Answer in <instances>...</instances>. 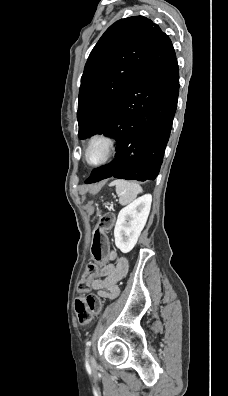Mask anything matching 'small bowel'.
Listing matches in <instances>:
<instances>
[{"label":"small bowel","mask_w":228,"mask_h":396,"mask_svg":"<svg viewBox=\"0 0 228 396\" xmlns=\"http://www.w3.org/2000/svg\"><path fill=\"white\" fill-rule=\"evenodd\" d=\"M109 259H115L111 252ZM129 264L126 258H118L116 263H108L101 269L100 276L91 281V288L97 292L100 298L114 299L119 294L118 282L127 274Z\"/></svg>","instance_id":"small-bowel-1"}]
</instances>
